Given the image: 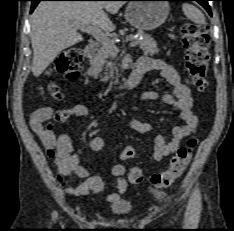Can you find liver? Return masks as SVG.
Wrapping results in <instances>:
<instances>
[{
  "instance_id": "6515ba94",
  "label": "liver",
  "mask_w": 234,
  "mask_h": 231,
  "mask_svg": "<svg viewBox=\"0 0 234 231\" xmlns=\"http://www.w3.org/2000/svg\"><path fill=\"white\" fill-rule=\"evenodd\" d=\"M123 1H44L31 16L33 75L38 77L65 49L81 42L76 24H89L111 32L115 25L108 13L116 14Z\"/></svg>"
}]
</instances>
